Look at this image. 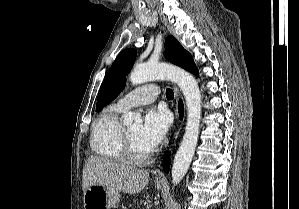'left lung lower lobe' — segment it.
Here are the masks:
<instances>
[{
    "mask_svg": "<svg viewBox=\"0 0 299 209\" xmlns=\"http://www.w3.org/2000/svg\"><path fill=\"white\" fill-rule=\"evenodd\" d=\"M191 73L198 75V70L195 68ZM182 110H183V105L182 102L180 101L179 103V113H180V118H182ZM170 154L169 152L165 154L164 156V170L165 172H168L169 165H170Z\"/></svg>",
    "mask_w": 299,
    "mask_h": 209,
    "instance_id": "0a47b994",
    "label": "left lung lower lobe"
}]
</instances>
